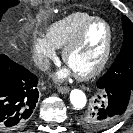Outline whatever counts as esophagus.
<instances>
[{
  "instance_id": "esophagus-1",
  "label": "esophagus",
  "mask_w": 133,
  "mask_h": 133,
  "mask_svg": "<svg viewBox=\"0 0 133 133\" xmlns=\"http://www.w3.org/2000/svg\"><path fill=\"white\" fill-rule=\"evenodd\" d=\"M58 91L61 93V94H66L70 91V88L67 87V86H59L58 87Z\"/></svg>"
}]
</instances>
